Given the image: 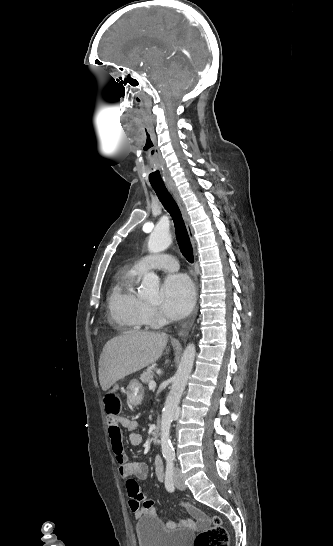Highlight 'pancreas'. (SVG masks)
<instances>
[{"mask_svg": "<svg viewBox=\"0 0 333 546\" xmlns=\"http://www.w3.org/2000/svg\"><path fill=\"white\" fill-rule=\"evenodd\" d=\"M153 378H154V373L151 367H148L146 370H144L140 377L141 381L144 384H149V382L152 381Z\"/></svg>", "mask_w": 333, "mask_h": 546, "instance_id": "cf45deb5", "label": "pancreas"}]
</instances>
